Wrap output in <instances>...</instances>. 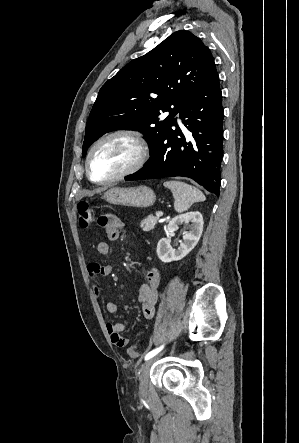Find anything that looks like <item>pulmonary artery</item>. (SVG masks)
<instances>
[{
    "label": "pulmonary artery",
    "instance_id": "1",
    "mask_svg": "<svg viewBox=\"0 0 299 443\" xmlns=\"http://www.w3.org/2000/svg\"><path fill=\"white\" fill-rule=\"evenodd\" d=\"M175 118H176V121H177L178 123H180V122H181V120L179 119V117H178V116H176Z\"/></svg>",
    "mask_w": 299,
    "mask_h": 443
}]
</instances>
